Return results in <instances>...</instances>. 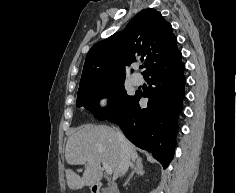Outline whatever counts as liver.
Masks as SVG:
<instances>
[{"label": "liver", "instance_id": "liver-1", "mask_svg": "<svg viewBox=\"0 0 237 193\" xmlns=\"http://www.w3.org/2000/svg\"><path fill=\"white\" fill-rule=\"evenodd\" d=\"M126 141L130 160H140L136 147ZM120 151V141L114 128L94 124L80 126L67 140L65 158L69 165L85 164V171L80 177L71 169H67L68 187L77 190L99 183L103 176L102 162L112 168L113 180H116L120 174Z\"/></svg>", "mask_w": 237, "mask_h": 193}]
</instances>
